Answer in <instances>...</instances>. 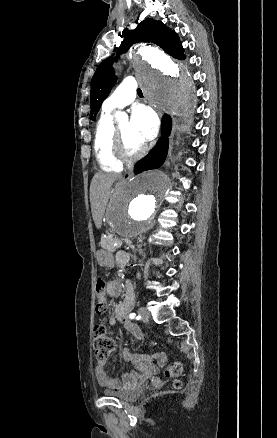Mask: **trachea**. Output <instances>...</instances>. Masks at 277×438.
I'll return each instance as SVG.
<instances>
[{
	"instance_id": "trachea-1",
	"label": "trachea",
	"mask_w": 277,
	"mask_h": 438,
	"mask_svg": "<svg viewBox=\"0 0 277 438\" xmlns=\"http://www.w3.org/2000/svg\"><path fill=\"white\" fill-rule=\"evenodd\" d=\"M137 93H138L139 95H142V91L140 90V88L137 89Z\"/></svg>"
}]
</instances>
